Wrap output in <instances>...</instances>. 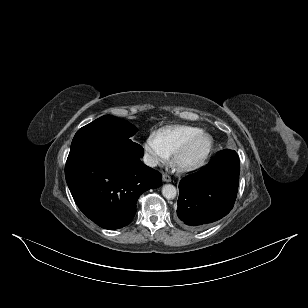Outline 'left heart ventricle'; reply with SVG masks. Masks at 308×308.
<instances>
[{
	"mask_svg": "<svg viewBox=\"0 0 308 308\" xmlns=\"http://www.w3.org/2000/svg\"><path fill=\"white\" fill-rule=\"evenodd\" d=\"M207 140L205 138L199 139L187 153L186 158L189 160L198 158L205 150Z\"/></svg>",
	"mask_w": 308,
	"mask_h": 308,
	"instance_id": "1",
	"label": "left heart ventricle"
}]
</instances>
